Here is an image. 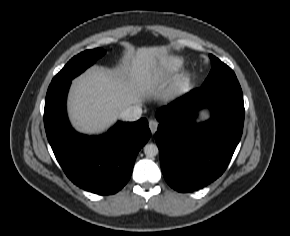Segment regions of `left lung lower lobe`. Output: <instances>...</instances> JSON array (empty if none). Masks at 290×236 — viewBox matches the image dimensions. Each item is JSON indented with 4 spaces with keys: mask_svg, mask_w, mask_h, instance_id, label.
<instances>
[{
    "mask_svg": "<svg viewBox=\"0 0 290 236\" xmlns=\"http://www.w3.org/2000/svg\"><path fill=\"white\" fill-rule=\"evenodd\" d=\"M205 107L211 118L193 123ZM244 113L237 78L201 86L161 107L155 140L166 182L191 192L221 176L241 139Z\"/></svg>",
    "mask_w": 290,
    "mask_h": 236,
    "instance_id": "obj_1",
    "label": "left lung lower lobe"
}]
</instances>
